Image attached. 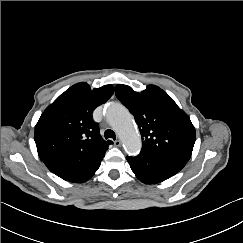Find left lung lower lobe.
Returning <instances> with one entry per match:
<instances>
[{
	"mask_svg": "<svg viewBox=\"0 0 243 243\" xmlns=\"http://www.w3.org/2000/svg\"><path fill=\"white\" fill-rule=\"evenodd\" d=\"M127 161L136 177L145 184L162 182L178 173L187 163L183 160L145 153H140L136 157L127 156Z\"/></svg>",
	"mask_w": 243,
	"mask_h": 243,
	"instance_id": "0a47b994",
	"label": "left lung lower lobe"
}]
</instances>
